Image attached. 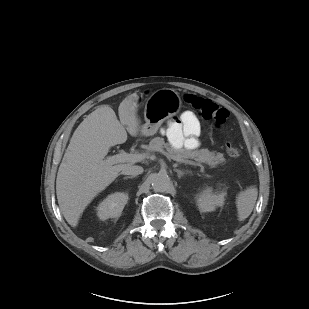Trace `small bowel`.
I'll return each mask as SVG.
<instances>
[{"instance_id": "c3829d8e", "label": "small bowel", "mask_w": 309, "mask_h": 309, "mask_svg": "<svg viewBox=\"0 0 309 309\" xmlns=\"http://www.w3.org/2000/svg\"><path fill=\"white\" fill-rule=\"evenodd\" d=\"M200 124L191 111L181 114L179 120H175L168 125V138L175 148L185 147L192 150L198 147V136Z\"/></svg>"}]
</instances>
